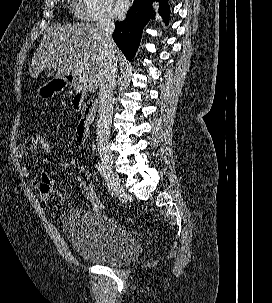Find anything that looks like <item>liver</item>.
Instances as JSON below:
<instances>
[{"instance_id":"liver-1","label":"liver","mask_w":272,"mask_h":303,"mask_svg":"<svg viewBox=\"0 0 272 303\" xmlns=\"http://www.w3.org/2000/svg\"><path fill=\"white\" fill-rule=\"evenodd\" d=\"M103 37L98 24H53L43 36L30 67V76L37 78L47 70H55V79L66 80L71 72L88 76V90L94 93L99 86L103 59ZM115 58H122L115 46Z\"/></svg>"}]
</instances>
